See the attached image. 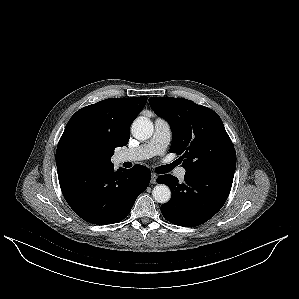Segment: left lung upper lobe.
I'll return each instance as SVG.
<instances>
[{
    "instance_id": "obj_1",
    "label": "left lung upper lobe",
    "mask_w": 299,
    "mask_h": 299,
    "mask_svg": "<svg viewBox=\"0 0 299 299\" xmlns=\"http://www.w3.org/2000/svg\"><path fill=\"white\" fill-rule=\"evenodd\" d=\"M154 112L172 129L170 152L181 155L187 171L219 169L235 171L236 152L221 118L193 101L173 97H151Z\"/></svg>"
}]
</instances>
